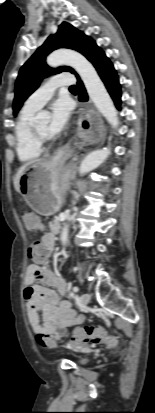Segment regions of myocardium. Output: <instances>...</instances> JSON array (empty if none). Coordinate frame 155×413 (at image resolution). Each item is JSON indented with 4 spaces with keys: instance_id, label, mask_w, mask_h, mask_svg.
<instances>
[{
    "instance_id": "1",
    "label": "myocardium",
    "mask_w": 155,
    "mask_h": 413,
    "mask_svg": "<svg viewBox=\"0 0 155 413\" xmlns=\"http://www.w3.org/2000/svg\"><path fill=\"white\" fill-rule=\"evenodd\" d=\"M31 133L35 142L41 147L49 140L48 137H45L38 132V130L35 127V124L33 123L31 125Z\"/></svg>"
}]
</instances>
